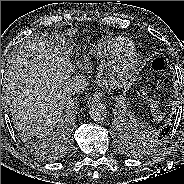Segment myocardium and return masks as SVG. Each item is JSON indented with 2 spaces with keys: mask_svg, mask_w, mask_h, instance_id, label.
Segmentation results:
<instances>
[{
  "mask_svg": "<svg viewBox=\"0 0 184 184\" xmlns=\"http://www.w3.org/2000/svg\"><path fill=\"white\" fill-rule=\"evenodd\" d=\"M140 61L138 52H130L112 69V77L120 83L127 81L137 69Z\"/></svg>",
  "mask_w": 184,
  "mask_h": 184,
  "instance_id": "myocardium-1",
  "label": "myocardium"
}]
</instances>
